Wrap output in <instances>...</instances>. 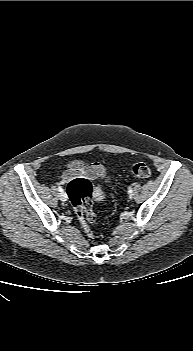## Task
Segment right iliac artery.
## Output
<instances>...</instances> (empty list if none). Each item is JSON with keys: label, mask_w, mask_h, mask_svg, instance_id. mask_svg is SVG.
Segmentation results:
<instances>
[{"label": "right iliac artery", "mask_w": 193, "mask_h": 351, "mask_svg": "<svg viewBox=\"0 0 193 351\" xmlns=\"http://www.w3.org/2000/svg\"><path fill=\"white\" fill-rule=\"evenodd\" d=\"M58 191H59V192H63L64 190L62 189V187L59 186V187H58Z\"/></svg>", "instance_id": "1"}]
</instances>
